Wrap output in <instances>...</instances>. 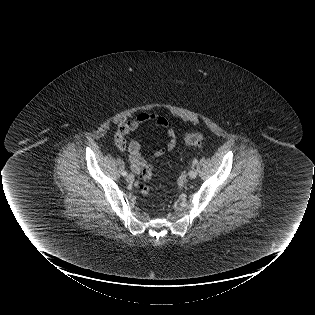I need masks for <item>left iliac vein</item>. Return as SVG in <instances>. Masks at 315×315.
Returning a JSON list of instances; mask_svg holds the SVG:
<instances>
[{"label":"left iliac vein","instance_id":"4c4485c4","mask_svg":"<svg viewBox=\"0 0 315 315\" xmlns=\"http://www.w3.org/2000/svg\"><path fill=\"white\" fill-rule=\"evenodd\" d=\"M197 174H198V170L194 167L188 173V175L191 179L196 178Z\"/></svg>","mask_w":315,"mask_h":315}]
</instances>
